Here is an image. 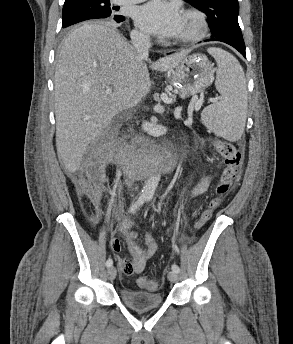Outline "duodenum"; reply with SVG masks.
<instances>
[{"label": "duodenum", "mask_w": 293, "mask_h": 344, "mask_svg": "<svg viewBox=\"0 0 293 344\" xmlns=\"http://www.w3.org/2000/svg\"><path fill=\"white\" fill-rule=\"evenodd\" d=\"M163 166H169L170 168H174L176 165V159L173 154H170L165 162L162 163Z\"/></svg>", "instance_id": "obj_1"}]
</instances>
